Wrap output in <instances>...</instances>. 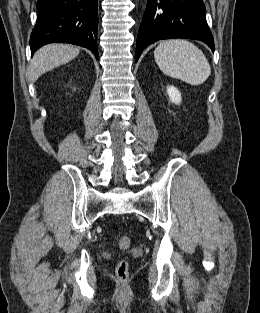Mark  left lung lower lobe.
<instances>
[{
	"mask_svg": "<svg viewBox=\"0 0 260 313\" xmlns=\"http://www.w3.org/2000/svg\"><path fill=\"white\" fill-rule=\"evenodd\" d=\"M205 11L202 0H148L137 37L135 61L146 46L161 39H196L214 51Z\"/></svg>",
	"mask_w": 260,
	"mask_h": 313,
	"instance_id": "obj_1",
	"label": "left lung lower lobe"
}]
</instances>
